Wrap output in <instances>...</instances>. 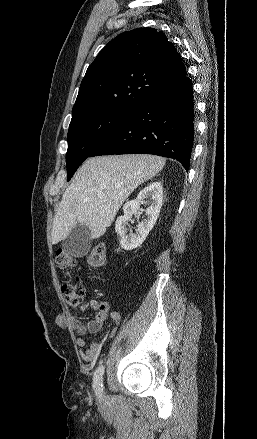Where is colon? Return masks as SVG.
<instances>
[{
  "label": "colon",
  "mask_w": 257,
  "mask_h": 439,
  "mask_svg": "<svg viewBox=\"0 0 257 439\" xmlns=\"http://www.w3.org/2000/svg\"><path fill=\"white\" fill-rule=\"evenodd\" d=\"M105 261V246L96 245L89 254L88 263L93 268H99ZM56 265L61 269L76 268L77 262L74 256L66 250L59 249L55 256ZM62 293L70 308H78L85 297V288L79 278L67 280L62 286Z\"/></svg>",
  "instance_id": "1"
}]
</instances>
